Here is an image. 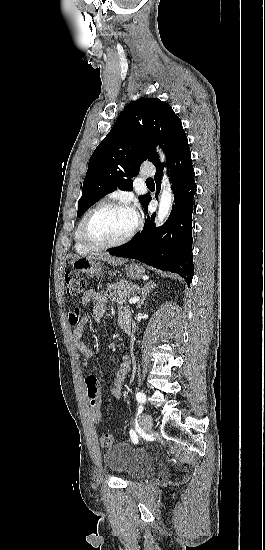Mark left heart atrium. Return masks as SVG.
<instances>
[{
    "label": "left heart atrium",
    "instance_id": "39dd6f15",
    "mask_svg": "<svg viewBox=\"0 0 265 550\" xmlns=\"http://www.w3.org/2000/svg\"><path fill=\"white\" fill-rule=\"evenodd\" d=\"M132 212H133V214L135 215V217L137 218V217H138V212H137V210L132 209Z\"/></svg>",
    "mask_w": 265,
    "mask_h": 550
}]
</instances>
